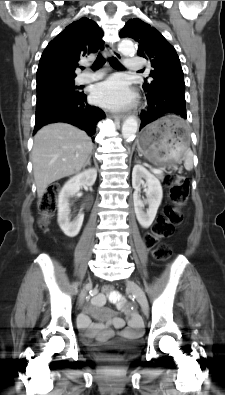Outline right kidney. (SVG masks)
I'll use <instances>...</instances> for the list:
<instances>
[{
	"label": "right kidney",
	"mask_w": 225,
	"mask_h": 395,
	"mask_svg": "<svg viewBox=\"0 0 225 395\" xmlns=\"http://www.w3.org/2000/svg\"><path fill=\"white\" fill-rule=\"evenodd\" d=\"M97 177V171L94 168L85 170L76 176L70 178L63 186L58 198V224L64 234L68 237H75L82 226L84 214L70 221V203L69 199L79 192L81 187L92 186Z\"/></svg>",
	"instance_id": "ca27d5eb"
}]
</instances>
